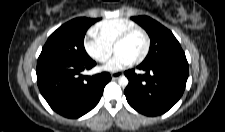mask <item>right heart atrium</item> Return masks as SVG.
I'll return each mask as SVG.
<instances>
[{"label":"right heart atrium","instance_id":"right-heart-atrium-1","mask_svg":"<svg viewBox=\"0 0 225 132\" xmlns=\"http://www.w3.org/2000/svg\"><path fill=\"white\" fill-rule=\"evenodd\" d=\"M84 49L86 53L95 61L99 63L106 62L112 55L113 48L101 40H99L96 36H87L84 39Z\"/></svg>","mask_w":225,"mask_h":132}]
</instances>
